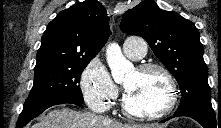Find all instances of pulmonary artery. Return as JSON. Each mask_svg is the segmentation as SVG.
<instances>
[{"instance_id": "1", "label": "pulmonary artery", "mask_w": 221, "mask_h": 128, "mask_svg": "<svg viewBox=\"0 0 221 128\" xmlns=\"http://www.w3.org/2000/svg\"><path fill=\"white\" fill-rule=\"evenodd\" d=\"M123 50L127 57L138 60L146 54L147 42L140 36H129L124 41Z\"/></svg>"}]
</instances>
